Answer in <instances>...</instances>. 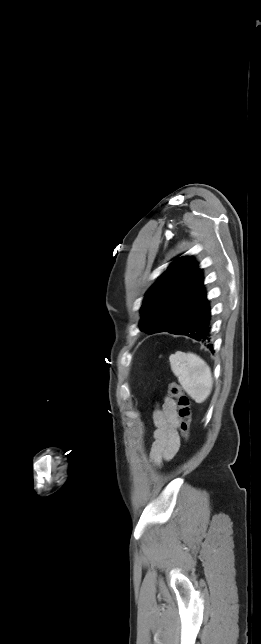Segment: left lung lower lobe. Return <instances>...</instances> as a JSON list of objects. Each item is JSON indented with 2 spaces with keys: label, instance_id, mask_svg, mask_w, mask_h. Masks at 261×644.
Listing matches in <instances>:
<instances>
[{
  "label": "left lung lower lobe",
  "instance_id": "1",
  "mask_svg": "<svg viewBox=\"0 0 261 644\" xmlns=\"http://www.w3.org/2000/svg\"><path fill=\"white\" fill-rule=\"evenodd\" d=\"M210 318V305L206 299L205 302L186 321L171 329L169 333L185 335L195 339L210 347V350L213 352Z\"/></svg>",
  "mask_w": 261,
  "mask_h": 644
}]
</instances>
